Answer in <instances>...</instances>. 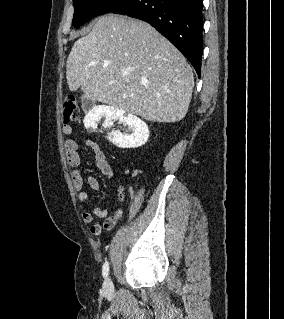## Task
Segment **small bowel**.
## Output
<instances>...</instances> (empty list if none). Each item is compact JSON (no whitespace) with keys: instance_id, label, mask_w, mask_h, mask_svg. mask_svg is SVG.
<instances>
[{"instance_id":"obj_1","label":"small bowel","mask_w":284,"mask_h":319,"mask_svg":"<svg viewBox=\"0 0 284 319\" xmlns=\"http://www.w3.org/2000/svg\"><path fill=\"white\" fill-rule=\"evenodd\" d=\"M63 133L65 135H70L72 133V127L65 125L63 127ZM85 144L92 150L95 165L98 170L107 178L112 179L114 177L113 169L100 145L91 139L85 140ZM64 149L67 162L73 168L71 172V178L73 186L77 191L78 200L80 203L85 204L89 201V192L97 191L99 189V183L93 176H87L86 178L82 176L80 170L81 157L79 154V146L74 139H67L64 144ZM118 198L120 202L124 201L125 194L123 189L120 190ZM122 214V208H118L113 214L110 215L106 209L95 207L92 211H84L82 213V220L85 224L90 225V232L93 235L99 236L103 230H112ZM99 220H103V223H101Z\"/></svg>"}]
</instances>
